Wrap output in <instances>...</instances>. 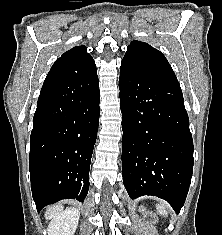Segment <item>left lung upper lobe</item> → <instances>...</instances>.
Wrapping results in <instances>:
<instances>
[{
    "mask_svg": "<svg viewBox=\"0 0 222 235\" xmlns=\"http://www.w3.org/2000/svg\"><path fill=\"white\" fill-rule=\"evenodd\" d=\"M122 62L179 84L165 56L148 43L137 40L131 42Z\"/></svg>",
    "mask_w": 222,
    "mask_h": 235,
    "instance_id": "5c2ea615",
    "label": "left lung upper lobe"
}]
</instances>
